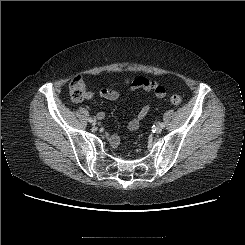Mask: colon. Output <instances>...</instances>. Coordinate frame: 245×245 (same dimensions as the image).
Masks as SVG:
<instances>
[{"label": "colon", "mask_w": 245, "mask_h": 245, "mask_svg": "<svg viewBox=\"0 0 245 245\" xmlns=\"http://www.w3.org/2000/svg\"><path fill=\"white\" fill-rule=\"evenodd\" d=\"M136 83L143 88H149L158 93H163L166 91L163 85L150 81L145 78L136 79ZM69 95L73 101H82L86 98L87 96L86 84L81 77H75L71 80L69 84ZM181 101L182 99L179 95L171 96V102L173 104L178 105L181 103Z\"/></svg>", "instance_id": "obj_1"}]
</instances>
